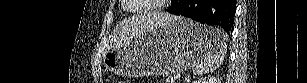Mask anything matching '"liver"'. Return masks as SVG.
I'll return each mask as SVG.
<instances>
[{
	"label": "liver",
	"instance_id": "obj_1",
	"mask_svg": "<svg viewBox=\"0 0 307 83\" xmlns=\"http://www.w3.org/2000/svg\"><path fill=\"white\" fill-rule=\"evenodd\" d=\"M173 19V15L163 12H152L147 15L134 16L125 19L113 30L111 35L112 46L120 45L140 36L141 33L148 31L153 27H157L164 22Z\"/></svg>",
	"mask_w": 307,
	"mask_h": 83
}]
</instances>
